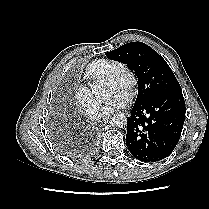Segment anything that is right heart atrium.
I'll return each mask as SVG.
<instances>
[{
	"label": "right heart atrium",
	"mask_w": 209,
	"mask_h": 209,
	"mask_svg": "<svg viewBox=\"0 0 209 209\" xmlns=\"http://www.w3.org/2000/svg\"><path fill=\"white\" fill-rule=\"evenodd\" d=\"M74 102L89 118L95 119L99 117V103L87 87L81 86L76 89Z\"/></svg>",
	"instance_id": "obj_1"
}]
</instances>
